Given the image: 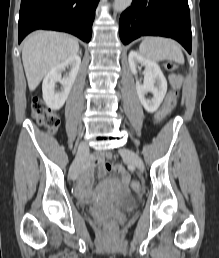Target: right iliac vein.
Listing matches in <instances>:
<instances>
[{"label": "right iliac vein", "mask_w": 219, "mask_h": 258, "mask_svg": "<svg viewBox=\"0 0 219 258\" xmlns=\"http://www.w3.org/2000/svg\"><path fill=\"white\" fill-rule=\"evenodd\" d=\"M88 152H89V147H88L87 143L84 141L80 142V144L78 146L76 158L73 161V164L71 165V167L69 169V177L72 180H76V178L78 177V173H79L83 163L86 160Z\"/></svg>", "instance_id": "obj_1"}]
</instances>
